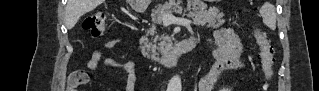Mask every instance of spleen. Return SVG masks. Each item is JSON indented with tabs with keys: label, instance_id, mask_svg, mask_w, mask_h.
<instances>
[{
	"label": "spleen",
	"instance_id": "obj_1",
	"mask_svg": "<svg viewBox=\"0 0 319 91\" xmlns=\"http://www.w3.org/2000/svg\"><path fill=\"white\" fill-rule=\"evenodd\" d=\"M260 15L263 19V23L268 26L271 30L276 29V11L275 7L266 2L259 10Z\"/></svg>",
	"mask_w": 319,
	"mask_h": 91
}]
</instances>
